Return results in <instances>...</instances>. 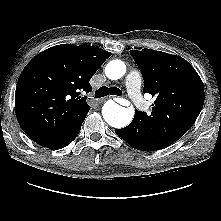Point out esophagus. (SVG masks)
<instances>
[{
	"mask_svg": "<svg viewBox=\"0 0 221 221\" xmlns=\"http://www.w3.org/2000/svg\"><path fill=\"white\" fill-rule=\"evenodd\" d=\"M110 98V97H109ZM108 98L107 97H105V98H102V99H100V102H104V101H106Z\"/></svg>",
	"mask_w": 221,
	"mask_h": 221,
	"instance_id": "34e87169",
	"label": "esophagus"
}]
</instances>
